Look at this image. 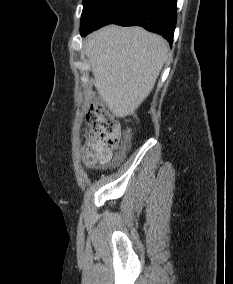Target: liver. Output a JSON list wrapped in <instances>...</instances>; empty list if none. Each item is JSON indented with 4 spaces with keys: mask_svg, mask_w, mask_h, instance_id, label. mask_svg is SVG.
Returning a JSON list of instances; mask_svg holds the SVG:
<instances>
[{
    "mask_svg": "<svg viewBox=\"0 0 233 284\" xmlns=\"http://www.w3.org/2000/svg\"><path fill=\"white\" fill-rule=\"evenodd\" d=\"M94 86L119 118L132 115L152 91L168 57V44L142 27L106 26L84 45Z\"/></svg>",
    "mask_w": 233,
    "mask_h": 284,
    "instance_id": "liver-1",
    "label": "liver"
}]
</instances>
